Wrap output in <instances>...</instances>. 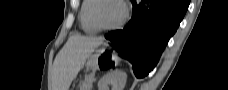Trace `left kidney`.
Here are the masks:
<instances>
[{"label": "left kidney", "mask_w": 228, "mask_h": 90, "mask_svg": "<svg viewBox=\"0 0 228 90\" xmlns=\"http://www.w3.org/2000/svg\"><path fill=\"white\" fill-rule=\"evenodd\" d=\"M127 81V74L123 71L116 70L106 74L98 82L99 90H108V85H112V90H124Z\"/></svg>", "instance_id": "obj_1"}]
</instances>
